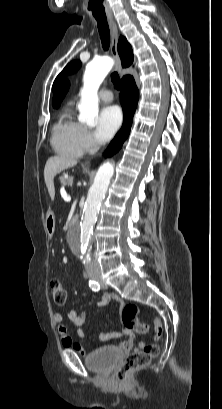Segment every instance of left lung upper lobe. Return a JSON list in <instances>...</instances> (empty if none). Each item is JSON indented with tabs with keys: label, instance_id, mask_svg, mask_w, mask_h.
<instances>
[{
	"label": "left lung upper lobe",
	"instance_id": "5c2ea615",
	"mask_svg": "<svg viewBox=\"0 0 222 409\" xmlns=\"http://www.w3.org/2000/svg\"><path fill=\"white\" fill-rule=\"evenodd\" d=\"M80 65H81V62H80V61H73V62L69 63V64L63 69V71L59 74V76L56 78V80H57L59 77L65 75V74H69V73L76 72V71L78 70V68L80 67ZM56 80H55V82H56ZM55 82H54V84H55Z\"/></svg>",
	"mask_w": 222,
	"mask_h": 409
}]
</instances>
